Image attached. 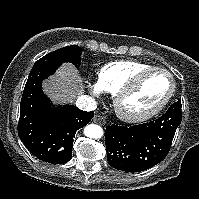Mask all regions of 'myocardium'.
Here are the masks:
<instances>
[{"label":"myocardium","mask_w":199,"mask_h":199,"mask_svg":"<svg viewBox=\"0 0 199 199\" xmlns=\"http://www.w3.org/2000/svg\"><path fill=\"white\" fill-rule=\"evenodd\" d=\"M153 73H163L169 77L171 81V87L168 94L158 105H156L154 108L150 110L140 113H132L127 111L123 106L125 98L138 88L141 81L146 76ZM175 90H176V81L173 74L169 70L161 67H149L141 71H138L114 94V107L116 114L121 120L128 123H140L149 120L152 117L156 116L158 113H160L166 107V105L172 99Z\"/></svg>","instance_id":"1"}]
</instances>
